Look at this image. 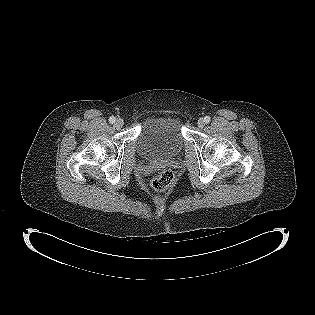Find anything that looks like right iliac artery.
I'll return each mask as SVG.
<instances>
[{"instance_id":"1","label":"right iliac artery","mask_w":315,"mask_h":315,"mask_svg":"<svg viewBox=\"0 0 315 315\" xmlns=\"http://www.w3.org/2000/svg\"><path fill=\"white\" fill-rule=\"evenodd\" d=\"M115 121H116V118H115L114 116H112V117L109 118V122H110L111 124L115 123Z\"/></svg>"}]
</instances>
